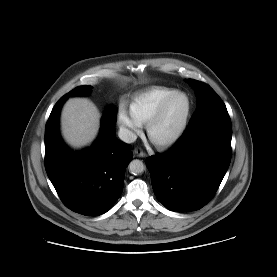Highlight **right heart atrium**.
I'll list each match as a JSON object with an SVG mask.
<instances>
[{
  "mask_svg": "<svg viewBox=\"0 0 277 277\" xmlns=\"http://www.w3.org/2000/svg\"><path fill=\"white\" fill-rule=\"evenodd\" d=\"M117 122L123 130L124 135L131 139L141 129V124L138 123L128 112L124 105H120L117 112Z\"/></svg>",
  "mask_w": 277,
  "mask_h": 277,
  "instance_id": "obj_1",
  "label": "right heart atrium"
}]
</instances>
